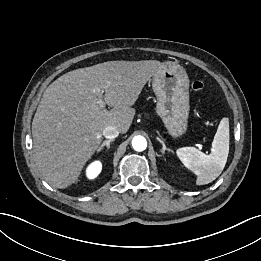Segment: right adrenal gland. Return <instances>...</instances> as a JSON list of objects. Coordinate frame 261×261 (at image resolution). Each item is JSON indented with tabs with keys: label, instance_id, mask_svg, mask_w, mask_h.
Wrapping results in <instances>:
<instances>
[{
	"label": "right adrenal gland",
	"instance_id": "1",
	"mask_svg": "<svg viewBox=\"0 0 261 261\" xmlns=\"http://www.w3.org/2000/svg\"><path fill=\"white\" fill-rule=\"evenodd\" d=\"M113 141H114V140H105V141L102 143V145L98 148L97 153H100V152L104 149V147H106L107 150H109V148H110V143L113 142Z\"/></svg>",
	"mask_w": 261,
	"mask_h": 261
}]
</instances>
